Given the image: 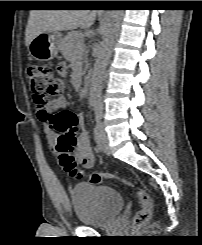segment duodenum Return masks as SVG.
<instances>
[{"mask_svg": "<svg viewBox=\"0 0 202 245\" xmlns=\"http://www.w3.org/2000/svg\"><path fill=\"white\" fill-rule=\"evenodd\" d=\"M90 81H91V78L90 76H85L82 80V83H81V92H86L88 91L89 87H90Z\"/></svg>", "mask_w": 202, "mask_h": 245, "instance_id": "duodenum-1", "label": "duodenum"}]
</instances>
